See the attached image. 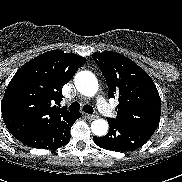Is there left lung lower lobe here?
<instances>
[{
  "label": "left lung lower lobe",
  "mask_w": 182,
  "mask_h": 182,
  "mask_svg": "<svg viewBox=\"0 0 182 182\" xmlns=\"http://www.w3.org/2000/svg\"><path fill=\"white\" fill-rule=\"evenodd\" d=\"M109 132L104 137H93L94 143L112 151H132L144 145L155 130L142 125L108 120Z\"/></svg>",
  "instance_id": "left-lung-lower-lobe-1"
}]
</instances>
